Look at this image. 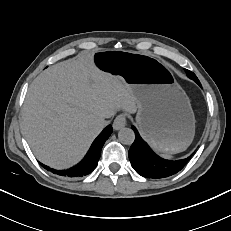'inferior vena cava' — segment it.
Segmentation results:
<instances>
[{
    "instance_id": "1",
    "label": "inferior vena cava",
    "mask_w": 231,
    "mask_h": 231,
    "mask_svg": "<svg viewBox=\"0 0 231 231\" xmlns=\"http://www.w3.org/2000/svg\"><path fill=\"white\" fill-rule=\"evenodd\" d=\"M109 124V121H106L105 119H103L101 122H100V125L102 128H104L105 126H107Z\"/></svg>"
}]
</instances>
